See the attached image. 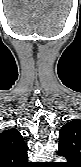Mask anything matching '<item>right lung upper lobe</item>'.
Masks as SVG:
<instances>
[{
    "instance_id": "obj_1",
    "label": "right lung upper lobe",
    "mask_w": 81,
    "mask_h": 167,
    "mask_svg": "<svg viewBox=\"0 0 81 167\" xmlns=\"http://www.w3.org/2000/svg\"><path fill=\"white\" fill-rule=\"evenodd\" d=\"M27 145L16 129L0 133V167H27Z\"/></svg>"
}]
</instances>
